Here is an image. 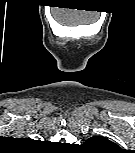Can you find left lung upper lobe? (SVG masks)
<instances>
[{
	"instance_id": "obj_1",
	"label": "left lung upper lobe",
	"mask_w": 135,
	"mask_h": 153,
	"mask_svg": "<svg viewBox=\"0 0 135 153\" xmlns=\"http://www.w3.org/2000/svg\"><path fill=\"white\" fill-rule=\"evenodd\" d=\"M85 145L95 150H111L116 148V145L103 136H93L89 138Z\"/></svg>"
}]
</instances>
